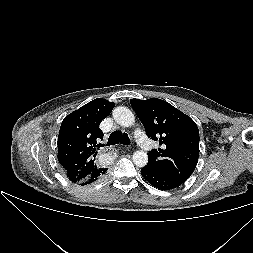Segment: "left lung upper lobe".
<instances>
[{
    "label": "left lung upper lobe",
    "instance_id": "5c2ea615",
    "mask_svg": "<svg viewBox=\"0 0 253 253\" xmlns=\"http://www.w3.org/2000/svg\"><path fill=\"white\" fill-rule=\"evenodd\" d=\"M130 104L147 136L162 145L148 153L147 165L181 183L185 182L198 162L199 131L196 123L161 99H131Z\"/></svg>",
    "mask_w": 253,
    "mask_h": 253
}]
</instances>
